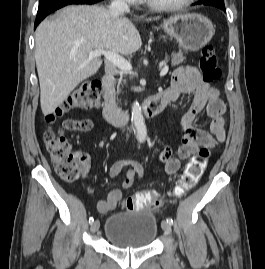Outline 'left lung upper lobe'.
Masks as SVG:
<instances>
[{
  "mask_svg": "<svg viewBox=\"0 0 265 269\" xmlns=\"http://www.w3.org/2000/svg\"><path fill=\"white\" fill-rule=\"evenodd\" d=\"M204 1H208V0H199V2H204ZM215 1L224 2V0H215Z\"/></svg>",
  "mask_w": 265,
  "mask_h": 269,
  "instance_id": "obj_1",
  "label": "left lung upper lobe"
}]
</instances>
